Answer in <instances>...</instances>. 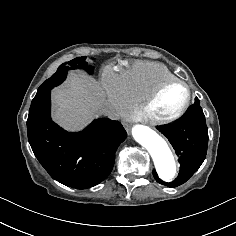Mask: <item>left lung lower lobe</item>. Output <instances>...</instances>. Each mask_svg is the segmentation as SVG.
I'll return each mask as SVG.
<instances>
[{"mask_svg": "<svg viewBox=\"0 0 236 236\" xmlns=\"http://www.w3.org/2000/svg\"><path fill=\"white\" fill-rule=\"evenodd\" d=\"M173 148L180 163L178 177L171 183H165L159 179L156 171H153L155 179L163 185L174 188L182 185L199 169L205 160L208 147V128L199 99L191 105L184 116L176 123L158 127Z\"/></svg>", "mask_w": 236, "mask_h": 236, "instance_id": "0a47b994", "label": "left lung lower lobe"}]
</instances>
